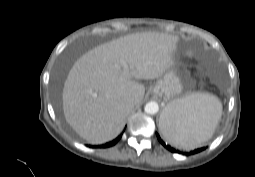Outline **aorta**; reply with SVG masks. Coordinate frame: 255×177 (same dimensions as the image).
Returning <instances> with one entry per match:
<instances>
[{
  "instance_id": "obj_1",
  "label": "aorta",
  "mask_w": 255,
  "mask_h": 177,
  "mask_svg": "<svg viewBox=\"0 0 255 177\" xmlns=\"http://www.w3.org/2000/svg\"><path fill=\"white\" fill-rule=\"evenodd\" d=\"M144 110L148 114H156L158 112V110H159V106H158V104L156 102L151 101V102H148L145 105Z\"/></svg>"
}]
</instances>
